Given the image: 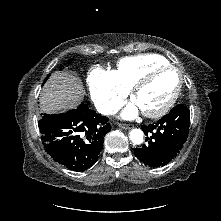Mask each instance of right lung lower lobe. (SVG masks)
Segmentation results:
<instances>
[{"mask_svg": "<svg viewBox=\"0 0 221 221\" xmlns=\"http://www.w3.org/2000/svg\"><path fill=\"white\" fill-rule=\"evenodd\" d=\"M108 118L87 104L58 115L44 114L38 122L45 151L74 171H84L96 163L104 136L111 130Z\"/></svg>", "mask_w": 221, "mask_h": 221, "instance_id": "98d812e1", "label": "right lung lower lobe"}]
</instances>
